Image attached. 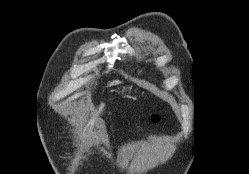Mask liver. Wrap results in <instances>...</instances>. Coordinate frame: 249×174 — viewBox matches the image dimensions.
<instances>
[{"instance_id":"liver-1","label":"liver","mask_w":249,"mask_h":174,"mask_svg":"<svg viewBox=\"0 0 249 174\" xmlns=\"http://www.w3.org/2000/svg\"><path fill=\"white\" fill-rule=\"evenodd\" d=\"M119 83H120V81L115 80V81H113V82H110L108 85H109V86H113V85H117V84H119Z\"/></svg>"}]
</instances>
